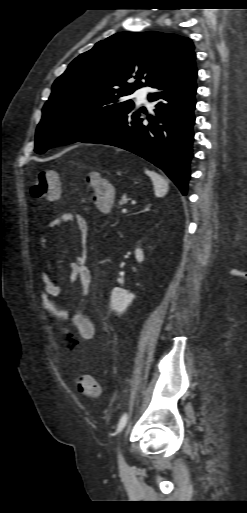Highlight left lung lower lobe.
<instances>
[{
	"label": "left lung lower lobe",
	"mask_w": 247,
	"mask_h": 513,
	"mask_svg": "<svg viewBox=\"0 0 247 513\" xmlns=\"http://www.w3.org/2000/svg\"><path fill=\"white\" fill-rule=\"evenodd\" d=\"M196 77L192 57L173 76L152 87L156 92L148 98L155 103L153 115L143 117L146 111L133 107L110 127L80 142L116 146L137 154L161 168L186 195L194 139Z\"/></svg>",
	"instance_id": "1"
}]
</instances>
